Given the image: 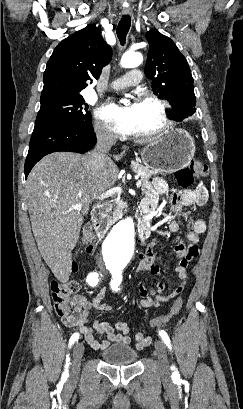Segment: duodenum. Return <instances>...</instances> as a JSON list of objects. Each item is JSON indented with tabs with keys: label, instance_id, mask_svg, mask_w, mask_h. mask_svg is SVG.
I'll use <instances>...</instances> for the list:
<instances>
[{
	"label": "duodenum",
	"instance_id": "1",
	"mask_svg": "<svg viewBox=\"0 0 243 409\" xmlns=\"http://www.w3.org/2000/svg\"><path fill=\"white\" fill-rule=\"evenodd\" d=\"M106 208L105 204H98L94 206L91 212V222L100 239L105 236L108 228L112 224L111 220L107 217ZM143 213L144 218L138 225V233L141 240H146L150 235V221L148 219L150 213L147 209H143Z\"/></svg>",
	"mask_w": 243,
	"mask_h": 409
}]
</instances>
